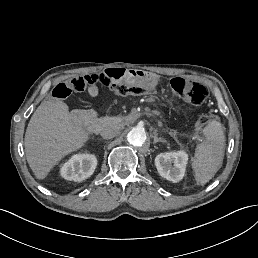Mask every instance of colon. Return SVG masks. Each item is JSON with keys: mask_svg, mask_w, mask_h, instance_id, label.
Listing matches in <instances>:
<instances>
[{"mask_svg": "<svg viewBox=\"0 0 258 258\" xmlns=\"http://www.w3.org/2000/svg\"><path fill=\"white\" fill-rule=\"evenodd\" d=\"M98 75H85L74 77L66 82L59 83L53 89L52 95L55 98H65L72 91L83 92L90 87L96 86L98 83ZM172 90L184 101L200 105L204 103L208 97L207 88L198 82L176 77L170 82ZM115 93L123 96L127 95H147L152 92L151 89L144 86L138 81H125L119 84L112 85ZM216 120V116L209 114L200 117L197 121V126L202 127Z\"/></svg>", "mask_w": 258, "mask_h": 258, "instance_id": "1", "label": "colon"}]
</instances>
